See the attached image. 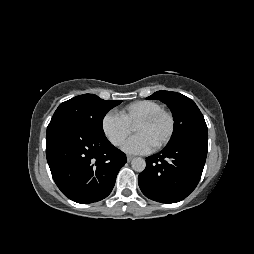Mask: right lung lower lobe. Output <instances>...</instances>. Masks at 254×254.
<instances>
[{
  "label": "right lung lower lobe",
  "instance_id": "98d812e1",
  "mask_svg": "<svg viewBox=\"0 0 254 254\" xmlns=\"http://www.w3.org/2000/svg\"><path fill=\"white\" fill-rule=\"evenodd\" d=\"M46 157L58 188L81 204L106 198L120 168L127 162L126 155L105 134L67 121L48 125Z\"/></svg>",
  "mask_w": 254,
  "mask_h": 254
}]
</instances>
